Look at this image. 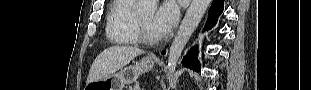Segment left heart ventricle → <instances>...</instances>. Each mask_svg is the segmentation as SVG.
Listing matches in <instances>:
<instances>
[{"label": "left heart ventricle", "mask_w": 311, "mask_h": 90, "mask_svg": "<svg viewBox=\"0 0 311 90\" xmlns=\"http://www.w3.org/2000/svg\"><path fill=\"white\" fill-rule=\"evenodd\" d=\"M154 16V12L150 11L140 15L141 21L144 24L147 32L152 37L160 36L153 28H152V19Z\"/></svg>", "instance_id": "b2bd125f"}]
</instances>
